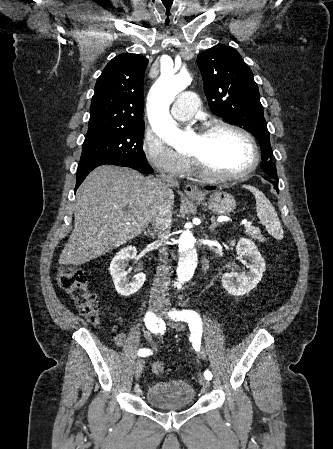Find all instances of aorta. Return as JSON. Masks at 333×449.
I'll list each match as a JSON object with an SVG mask.
<instances>
[{"label":"aorta","mask_w":333,"mask_h":449,"mask_svg":"<svg viewBox=\"0 0 333 449\" xmlns=\"http://www.w3.org/2000/svg\"><path fill=\"white\" fill-rule=\"evenodd\" d=\"M191 77V70L175 74L173 69L162 68L160 78L153 84L148 96V119L155 133L180 152L186 151L190 147V142L175 125L169 108L175 96L190 83ZM176 239L179 245L177 268L179 288L193 276L198 255L195 236L188 227L181 228Z\"/></svg>","instance_id":"aorta-1"}]
</instances>
